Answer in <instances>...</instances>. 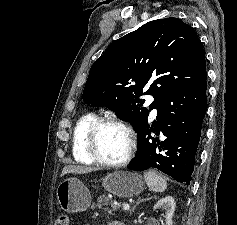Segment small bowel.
I'll use <instances>...</instances> for the list:
<instances>
[{
	"instance_id": "small-bowel-1",
	"label": "small bowel",
	"mask_w": 237,
	"mask_h": 225,
	"mask_svg": "<svg viewBox=\"0 0 237 225\" xmlns=\"http://www.w3.org/2000/svg\"><path fill=\"white\" fill-rule=\"evenodd\" d=\"M110 225H123L122 223L118 222V221H114L112 222Z\"/></svg>"
}]
</instances>
